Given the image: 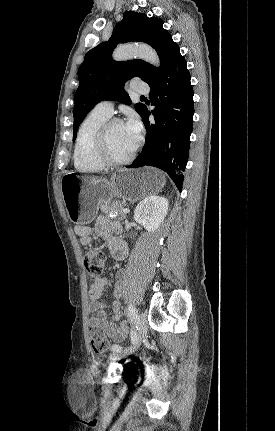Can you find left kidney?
<instances>
[{"label":"left kidney","instance_id":"1","mask_svg":"<svg viewBox=\"0 0 275 431\" xmlns=\"http://www.w3.org/2000/svg\"><path fill=\"white\" fill-rule=\"evenodd\" d=\"M168 200L161 196H148L142 200L134 211V219L143 225L148 232L159 228L168 211Z\"/></svg>","mask_w":275,"mask_h":431}]
</instances>
